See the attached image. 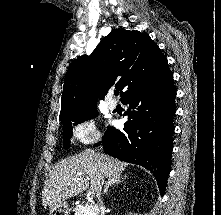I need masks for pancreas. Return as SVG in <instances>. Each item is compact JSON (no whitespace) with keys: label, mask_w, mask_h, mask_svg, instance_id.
<instances>
[{"label":"pancreas","mask_w":221,"mask_h":215,"mask_svg":"<svg viewBox=\"0 0 221 215\" xmlns=\"http://www.w3.org/2000/svg\"><path fill=\"white\" fill-rule=\"evenodd\" d=\"M74 212L75 215H92L88 204L76 205Z\"/></svg>","instance_id":"cf45deb5"}]
</instances>
